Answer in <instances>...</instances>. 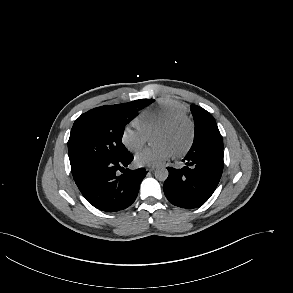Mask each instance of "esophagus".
<instances>
[{
  "label": "esophagus",
  "mask_w": 293,
  "mask_h": 293,
  "mask_svg": "<svg viewBox=\"0 0 293 293\" xmlns=\"http://www.w3.org/2000/svg\"><path fill=\"white\" fill-rule=\"evenodd\" d=\"M155 166H148V167H146V170L147 171H153V170H155Z\"/></svg>",
  "instance_id": "obj_1"
}]
</instances>
